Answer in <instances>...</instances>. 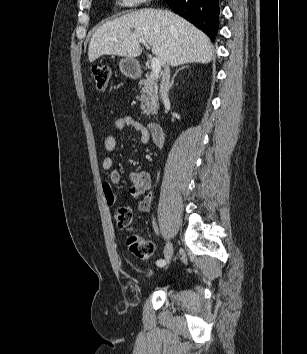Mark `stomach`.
<instances>
[{"label": "stomach", "mask_w": 307, "mask_h": 354, "mask_svg": "<svg viewBox=\"0 0 307 354\" xmlns=\"http://www.w3.org/2000/svg\"><path fill=\"white\" fill-rule=\"evenodd\" d=\"M119 68L122 74L129 78H137L141 73L139 62L134 58L125 57L121 59Z\"/></svg>", "instance_id": "obj_1"}]
</instances>
